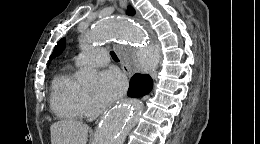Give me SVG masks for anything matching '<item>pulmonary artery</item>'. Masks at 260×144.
Returning a JSON list of instances; mask_svg holds the SVG:
<instances>
[{"mask_svg":"<svg viewBox=\"0 0 260 144\" xmlns=\"http://www.w3.org/2000/svg\"><path fill=\"white\" fill-rule=\"evenodd\" d=\"M75 62L78 65L90 64L95 67H102L109 62V54L103 48H95L87 53L77 55Z\"/></svg>","mask_w":260,"mask_h":144,"instance_id":"pulmonary-artery-1","label":"pulmonary artery"}]
</instances>
